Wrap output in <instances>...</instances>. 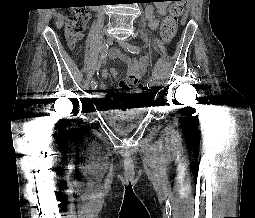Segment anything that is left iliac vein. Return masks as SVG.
I'll use <instances>...</instances> for the list:
<instances>
[{
	"instance_id": "4c4485c4",
	"label": "left iliac vein",
	"mask_w": 255,
	"mask_h": 218,
	"mask_svg": "<svg viewBox=\"0 0 255 218\" xmlns=\"http://www.w3.org/2000/svg\"><path fill=\"white\" fill-rule=\"evenodd\" d=\"M118 44H119L120 47H122V48L125 49V50H128L129 47L131 46V44H130L129 42H127V41H122V40L119 41Z\"/></svg>"
}]
</instances>
